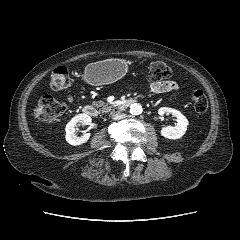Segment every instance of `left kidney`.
Here are the masks:
<instances>
[{
  "label": "left kidney",
  "instance_id": "obj_1",
  "mask_svg": "<svg viewBox=\"0 0 240 240\" xmlns=\"http://www.w3.org/2000/svg\"><path fill=\"white\" fill-rule=\"evenodd\" d=\"M159 115L172 114L176 117V126L163 127L160 131L161 135L168 139H179L181 138L189 125L187 118L178 110L168 107H162L158 110Z\"/></svg>",
  "mask_w": 240,
  "mask_h": 240
}]
</instances>
